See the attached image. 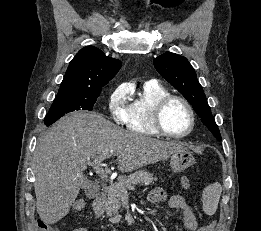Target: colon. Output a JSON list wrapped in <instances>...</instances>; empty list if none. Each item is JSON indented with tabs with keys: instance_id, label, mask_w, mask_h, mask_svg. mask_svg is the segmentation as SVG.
Here are the masks:
<instances>
[{
	"instance_id": "colon-1",
	"label": "colon",
	"mask_w": 261,
	"mask_h": 231,
	"mask_svg": "<svg viewBox=\"0 0 261 231\" xmlns=\"http://www.w3.org/2000/svg\"><path fill=\"white\" fill-rule=\"evenodd\" d=\"M85 208V202L83 200H77L72 204L71 210L72 211H80ZM38 228L39 231H59L58 228H56L52 224H48L42 220H38Z\"/></svg>"
}]
</instances>
